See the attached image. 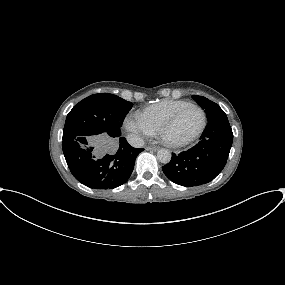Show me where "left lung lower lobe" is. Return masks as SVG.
I'll return each instance as SVG.
<instances>
[{"instance_id":"left-lung-lower-lobe-1","label":"left lung lower lobe","mask_w":285,"mask_h":285,"mask_svg":"<svg viewBox=\"0 0 285 285\" xmlns=\"http://www.w3.org/2000/svg\"><path fill=\"white\" fill-rule=\"evenodd\" d=\"M233 133L227 116L208 121L200 142L176 155L162 167L174 183L185 187L212 181L224 168L232 146Z\"/></svg>"}]
</instances>
